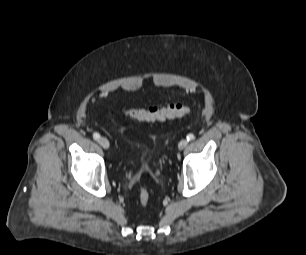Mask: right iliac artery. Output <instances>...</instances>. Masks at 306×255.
<instances>
[{"mask_svg": "<svg viewBox=\"0 0 306 255\" xmlns=\"http://www.w3.org/2000/svg\"><path fill=\"white\" fill-rule=\"evenodd\" d=\"M93 138H94L95 140H98V139L100 138L99 133H97V132L93 133Z\"/></svg>", "mask_w": 306, "mask_h": 255, "instance_id": "obj_1", "label": "right iliac artery"}]
</instances>
